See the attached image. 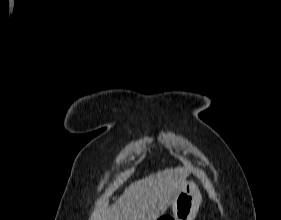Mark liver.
<instances>
[{"instance_id": "6515ba94", "label": "liver", "mask_w": 281, "mask_h": 220, "mask_svg": "<svg viewBox=\"0 0 281 220\" xmlns=\"http://www.w3.org/2000/svg\"><path fill=\"white\" fill-rule=\"evenodd\" d=\"M189 175L188 169H164L129 185L111 207L96 211L91 220H157L172 204Z\"/></svg>"}]
</instances>
